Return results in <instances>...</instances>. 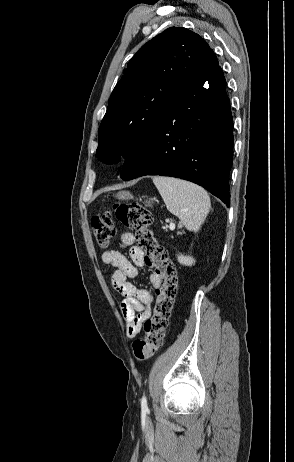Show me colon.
<instances>
[{
	"instance_id": "5ec220e1",
	"label": "colon",
	"mask_w": 294,
	"mask_h": 462,
	"mask_svg": "<svg viewBox=\"0 0 294 462\" xmlns=\"http://www.w3.org/2000/svg\"><path fill=\"white\" fill-rule=\"evenodd\" d=\"M114 217L135 232L144 264L153 269L159 279L154 310L144 322L145 336L133 343L135 358L145 361L153 357L163 344L177 294V273L166 249L158 243L151 230V212L139 203L116 204L111 212L92 217L91 228L100 247H107L115 234Z\"/></svg>"
}]
</instances>
